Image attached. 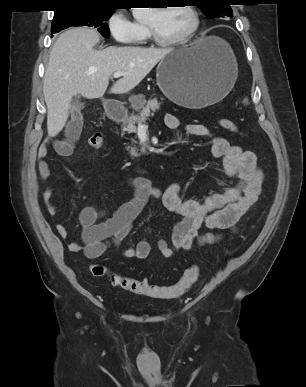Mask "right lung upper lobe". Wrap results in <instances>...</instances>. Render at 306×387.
Here are the masks:
<instances>
[{
	"instance_id": "obj_1",
	"label": "right lung upper lobe",
	"mask_w": 306,
	"mask_h": 387,
	"mask_svg": "<svg viewBox=\"0 0 306 387\" xmlns=\"http://www.w3.org/2000/svg\"><path fill=\"white\" fill-rule=\"evenodd\" d=\"M55 14L70 8H107L114 9L116 0H58Z\"/></svg>"
}]
</instances>
